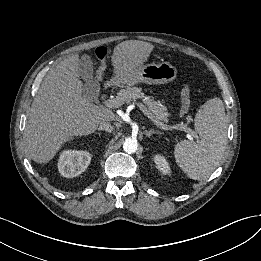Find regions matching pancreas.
<instances>
[{"mask_svg":"<svg viewBox=\"0 0 261 261\" xmlns=\"http://www.w3.org/2000/svg\"><path fill=\"white\" fill-rule=\"evenodd\" d=\"M116 99L123 104L135 103L136 99H142L144 104L147 106L148 111L152 114L153 118L157 123L168 122L169 113L165 105L160 101L153 100L150 96H146L141 88L138 87H127L118 92ZM183 127L186 125L180 124Z\"/></svg>","mask_w":261,"mask_h":261,"instance_id":"cf45deb5","label":"pancreas"}]
</instances>
